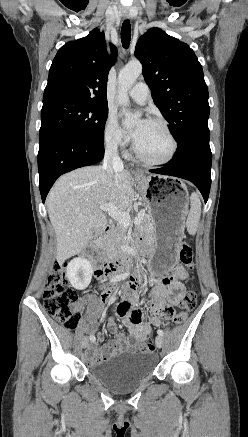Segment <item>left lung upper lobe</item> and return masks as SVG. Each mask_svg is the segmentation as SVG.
Returning a JSON list of instances; mask_svg holds the SVG:
<instances>
[{
  "label": "left lung upper lobe",
  "mask_w": 248,
  "mask_h": 437,
  "mask_svg": "<svg viewBox=\"0 0 248 437\" xmlns=\"http://www.w3.org/2000/svg\"><path fill=\"white\" fill-rule=\"evenodd\" d=\"M135 55L178 149L192 134L208 129V88L194 51L163 30L151 28L138 40Z\"/></svg>",
  "instance_id": "1"
}]
</instances>
